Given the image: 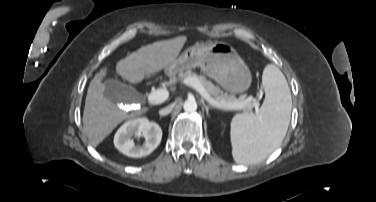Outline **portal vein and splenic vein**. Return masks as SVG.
<instances>
[{"instance_id":"1","label":"portal vein and splenic vein","mask_w":376,"mask_h":202,"mask_svg":"<svg viewBox=\"0 0 376 202\" xmlns=\"http://www.w3.org/2000/svg\"><path fill=\"white\" fill-rule=\"evenodd\" d=\"M184 83L194 88L197 93L201 96L202 99L207 101L213 107L221 110H241V105L237 103H226V102H218L211 95L205 90L202 84L195 78H187L184 80ZM169 96V92L166 89H158L152 91L148 95V101L152 104H160L163 103ZM254 100L253 97H248L247 101Z\"/></svg>"}]
</instances>
